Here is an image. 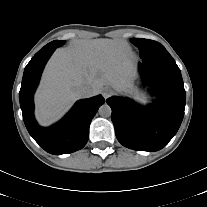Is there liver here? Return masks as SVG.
<instances>
[{
  "label": "liver",
  "mask_w": 207,
  "mask_h": 207,
  "mask_svg": "<svg viewBox=\"0 0 207 207\" xmlns=\"http://www.w3.org/2000/svg\"><path fill=\"white\" fill-rule=\"evenodd\" d=\"M136 57L124 40H80L57 49L49 60L35 95L40 124L58 120L80 98L77 88L87 85L93 95L103 86L125 90L135 74Z\"/></svg>",
  "instance_id": "6515ba94"
}]
</instances>
